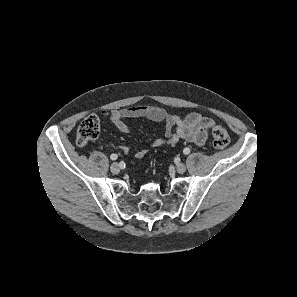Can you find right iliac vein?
I'll list each match as a JSON object with an SVG mask.
<instances>
[{
    "label": "right iliac vein",
    "mask_w": 297,
    "mask_h": 297,
    "mask_svg": "<svg viewBox=\"0 0 297 297\" xmlns=\"http://www.w3.org/2000/svg\"><path fill=\"white\" fill-rule=\"evenodd\" d=\"M110 169L112 173L118 174L120 172V165L118 163H113Z\"/></svg>",
    "instance_id": "1"
}]
</instances>
